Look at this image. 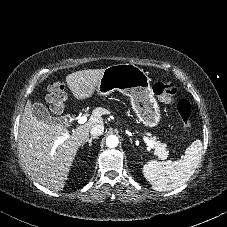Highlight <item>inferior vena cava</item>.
<instances>
[{
    "mask_svg": "<svg viewBox=\"0 0 227 227\" xmlns=\"http://www.w3.org/2000/svg\"><path fill=\"white\" fill-rule=\"evenodd\" d=\"M104 132V125L103 124H95L94 126H92V128L90 129V133L93 136H100L102 135Z\"/></svg>",
    "mask_w": 227,
    "mask_h": 227,
    "instance_id": "obj_1",
    "label": "inferior vena cava"
}]
</instances>
